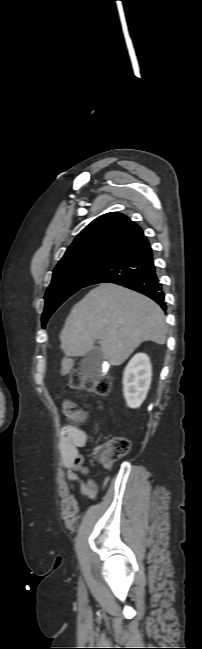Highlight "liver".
Here are the masks:
<instances>
[{"mask_svg":"<svg viewBox=\"0 0 202 649\" xmlns=\"http://www.w3.org/2000/svg\"><path fill=\"white\" fill-rule=\"evenodd\" d=\"M167 327L164 312L145 295L120 285L102 283L76 303L60 333L65 357L61 375L74 365L71 357L84 356L99 341L110 365L122 364L144 341L163 345Z\"/></svg>","mask_w":202,"mask_h":649,"instance_id":"6515ba94","label":"liver"}]
</instances>
